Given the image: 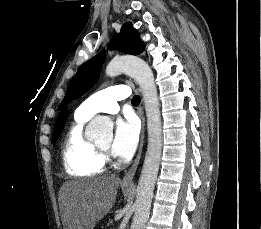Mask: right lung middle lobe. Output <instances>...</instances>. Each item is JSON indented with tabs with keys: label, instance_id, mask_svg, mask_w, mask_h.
Segmentation results:
<instances>
[{
	"label": "right lung middle lobe",
	"instance_id": "dd1d6c3e",
	"mask_svg": "<svg viewBox=\"0 0 261 229\" xmlns=\"http://www.w3.org/2000/svg\"><path fill=\"white\" fill-rule=\"evenodd\" d=\"M64 125H55L52 142L54 143L60 136Z\"/></svg>",
	"mask_w": 261,
	"mask_h": 229
}]
</instances>
